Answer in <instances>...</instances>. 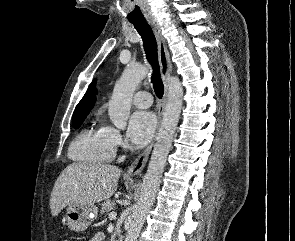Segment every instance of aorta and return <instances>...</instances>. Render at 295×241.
<instances>
[{
    "label": "aorta",
    "mask_w": 295,
    "mask_h": 241,
    "mask_svg": "<svg viewBox=\"0 0 295 241\" xmlns=\"http://www.w3.org/2000/svg\"><path fill=\"white\" fill-rule=\"evenodd\" d=\"M147 74L148 68L144 65H128L116 82L108 108L110 120L116 128H126L133 94ZM182 103L183 88L180 80L174 76L168 77V96L161 126L124 241H137L145 218L155 201Z\"/></svg>",
    "instance_id": "obj_1"
}]
</instances>
